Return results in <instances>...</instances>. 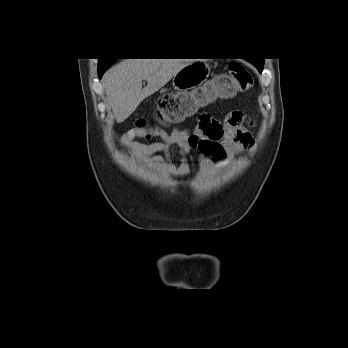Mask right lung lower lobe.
Segmentation results:
<instances>
[{"label":"right lung lower lobe","instance_id":"obj_1","mask_svg":"<svg viewBox=\"0 0 348 348\" xmlns=\"http://www.w3.org/2000/svg\"><path fill=\"white\" fill-rule=\"evenodd\" d=\"M107 67H99L98 69V74H99V78L102 77L103 73L107 70Z\"/></svg>","mask_w":348,"mask_h":348}]
</instances>
